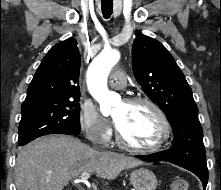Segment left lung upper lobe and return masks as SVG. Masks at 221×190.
I'll list each match as a JSON object with an SVG mask.
<instances>
[{"label": "left lung upper lobe", "instance_id": "left-lung-upper-lobe-1", "mask_svg": "<svg viewBox=\"0 0 221 190\" xmlns=\"http://www.w3.org/2000/svg\"><path fill=\"white\" fill-rule=\"evenodd\" d=\"M132 67L143 91L165 112L172 126L171 152L205 160L198 108L172 55L159 41L139 35L132 46Z\"/></svg>", "mask_w": 221, "mask_h": 190}]
</instances>
